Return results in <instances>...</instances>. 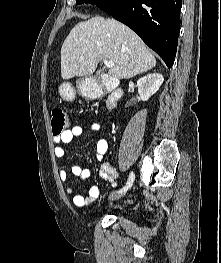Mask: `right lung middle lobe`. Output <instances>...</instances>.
Here are the masks:
<instances>
[{
  "mask_svg": "<svg viewBox=\"0 0 221 263\" xmlns=\"http://www.w3.org/2000/svg\"><path fill=\"white\" fill-rule=\"evenodd\" d=\"M102 0H76V5L82 4V3H91V4H99Z\"/></svg>",
  "mask_w": 221,
  "mask_h": 263,
  "instance_id": "dd1d6c3e",
  "label": "right lung middle lobe"
}]
</instances>
